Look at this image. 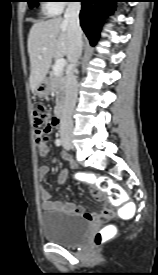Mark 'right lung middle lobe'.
Wrapping results in <instances>:
<instances>
[{"instance_id":"1","label":"right lung middle lobe","mask_w":158,"mask_h":275,"mask_svg":"<svg viewBox=\"0 0 158 275\" xmlns=\"http://www.w3.org/2000/svg\"><path fill=\"white\" fill-rule=\"evenodd\" d=\"M39 0H28L30 8L35 7L38 5Z\"/></svg>"}]
</instances>
